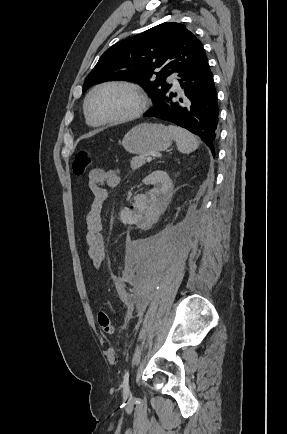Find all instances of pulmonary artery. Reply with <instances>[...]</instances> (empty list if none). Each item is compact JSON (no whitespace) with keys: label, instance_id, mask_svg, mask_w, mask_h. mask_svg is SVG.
Returning <instances> with one entry per match:
<instances>
[{"label":"pulmonary artery","instance_id":"obj_1","mask_svg":"<svg viewBox=\"0 0 287 434\" xmlns=\"http://www.w3.org/2000/svg\"><path fill=\"white\" fill-rule=\"evenodd\" d=\"M168 80L172 84L173 88H175V89H179L180 88L179 82H178L177 78L174 75L170 76Z\"/></svg>","mask_w":287,"mask_h":434}]
</instances>
